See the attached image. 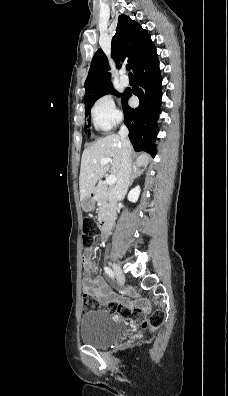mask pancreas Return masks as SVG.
Instances as JSON below:
<instances>
[{
	"label": "pancreas",
	"instance_id": "cf45deb5",
	"mask_svg": "<svg viewBox=\"0 0 228 396\" xmlns=\"http://www.w3.org/2000/svg\"><path fill=\"white\" fill-rule=\"evenodd\" d=\"M96 200L100 203L98 219L106 220L111 212L112 190L108 185L100 181L95 188Z\"/></svg>",
	"mask_w": 228,
	"mask_h": 396
}]
</instances>
